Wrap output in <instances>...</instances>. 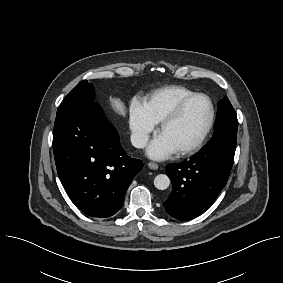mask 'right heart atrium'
Segmentation results:
<instances>
[{
	"mask_svg": "<svg viewBox=\"0 0 283 283\" xmlns=\"http://www.w3.org/2000/svg\"><path fill=\"white\" fill-rule=\"evenodd\" d=\"M129 126L133 145L143 148L156 125L147 117L143 105L139 101H133L129 113Z\"/></svg>",
	"mask_w": 283,
	"mask_h": 283,
	"instance_id": "right-heart-atrium-1",
	"label": "right heart atrium"
}]
</instances>
